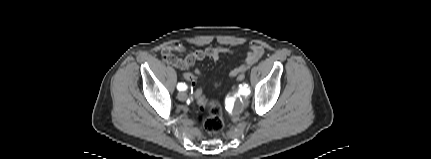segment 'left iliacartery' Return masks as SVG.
Instances as JSON below:
<instances>
[{"label": "left iliac artery", "instance_id": "44dca946", "mask_svg": "<svg viewBox=\"0 0 431 159\" xmlns=\"http://www.w3.org/2000/svg\"><path fill=\"white\" fill-rule=\"evenodd\" d=\"M240 93L243 95H249L250 90H249V88H247V86H244L243 88L240 89Z\"/></svg>", "mask_w": 431, "mask_h": 159}]
</instances>
